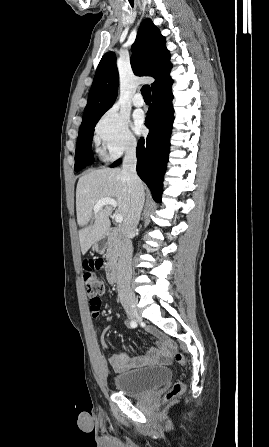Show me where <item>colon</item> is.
I'll list each match as a JSON object with an SVG mask.
<instances>
[{"label":"colon","mask_w":269,"mask_h":447,"mask_svg":"<svg viewBox=\"0 0 269 447\" xmlns=\"http://www.w3.org/2000/svg\"><path fill=\"white\" fill-rule=\"evenodd\" d=\"M105 265L104 257H86L84 263V276L83 283L86 291V295L92 298L89 310L94 313L93 317L97 318L99 310V296L105 293V283L103 280L99 279L94 271H101ZM169 350V349H168ZM175 359L180 364H185L186 359L183 353L176 351ZM184 391V384L181 381L174 383L172 388L166 393L164 397L165 403H170L174 401L178 396H180Z\"/></svg>","instance_id":"colon-1"}]
</instances>
